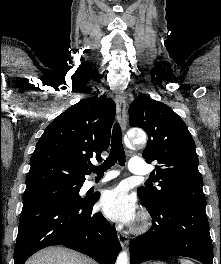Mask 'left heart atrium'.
Listing matches in <instances>:
<instances>
[{
	"instance_id": "39dd6f15",
	"label": "left heart atrium",
	"mask_w": 221,
	"mask_h": 264,
	"mask_svg": "<svg viewBox=\"0 0 221 264\" xmlns=\"http://www.w3.org/2000/svg\"><path fill=\"white\" fill-rule=\"evenodd\" d=\"M99 207L104 215L115 222L128 224L136 215V203L122 186L105 190L99 199Z\"/></svg>"
}]
</instances>
